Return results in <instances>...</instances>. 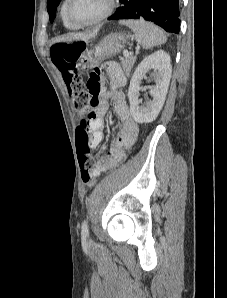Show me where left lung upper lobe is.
<instances>
[{
  "label": "left lung upper lobe",
  "instance_id": "5c2ea615",
  "mask_svg": "<svg viewBox=\"0 0 227 298\" xmlns=\"http://www.w3.org/2000/svg\"><path fill=\"white\" fill-rule=\"evenodd\" d=\"M61 0H48L47 2V11L49 13L50 21L53 22L55 18V12L57 6L59 5Z\"/></svg>",
  "mask_w": 227,
  "mask_h": 298
}]
</instances>
